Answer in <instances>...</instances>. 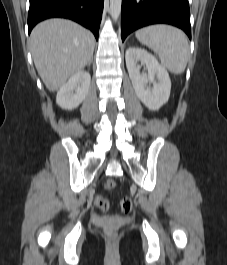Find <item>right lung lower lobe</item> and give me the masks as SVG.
Masks as SVG:
<instances>
[{
  "mask_svg": "<svg viewBox=\"0 0 227 265\" xmlns=\"http://www.w3.org/2000/svg\"><path fill=\"white\" fill-rule=\"evenodd\" d=\"M104 0H30L29 33L40 21L62 17L72 19L90 29L98 39Z\"/></svg>",
  "mask_w": 227,
  "mask_h": 265,
  "instance_id": "right-lung-lower-lobe-1",
  "label": "right lung lower lobe"
}]
</instances>
